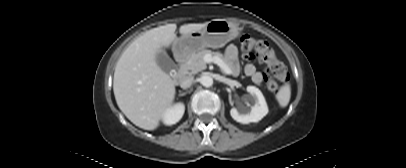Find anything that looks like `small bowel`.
<instances>
[{
	"label": "small bowel",
	"instance_id": "c3829d8e",
	"mask_svg": "<svg viewBox=\"0 0 406 168\" xmlns=\"http://www.w3.org/2000/svg\"><path fill=\"white\" fill-rule=\"evenodd\" d=\"M238 49L235 45H229L225 50V59L228 63L230 72L236 75L239 72L237 63ZM245 74L251 78L255 84H260L263 81V75L253 64H246L244 68Z\"/></svg>",
	"mask_w": 406,
	"mask_h": 168
}]
</instances>
